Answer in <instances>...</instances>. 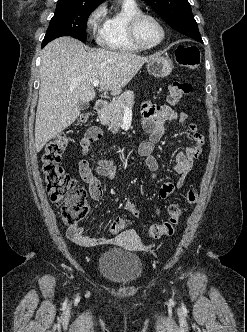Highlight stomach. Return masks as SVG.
<instances>
[{
  "label": "stomach",
  "instance_id": "stomach-1",
  "mask_svg": "<svg viewBox=\"0 0 247 332\" xmlns=\"http://www.w3.org/2000/svg\"><path fill=\"white\" fill-rule=\"evenodd\" d=\"M172 67L173 64L171 59L156 55L148 61L147 71L155 77L163 78L172 72Z\"/></svg>",
  "mask_w": 247,
  "mask_h": 332
}]
</instances>
